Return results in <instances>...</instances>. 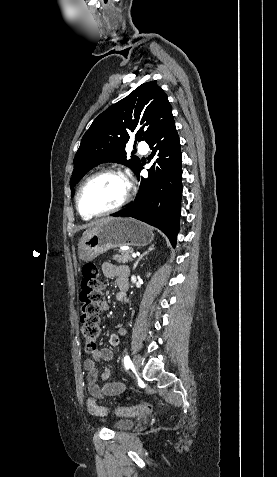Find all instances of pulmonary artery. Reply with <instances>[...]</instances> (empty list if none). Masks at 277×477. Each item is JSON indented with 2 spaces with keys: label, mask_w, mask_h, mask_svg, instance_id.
<instances>
[{
  "label": "pulmonary artery",
  "mask_w": 277,
  "mask_h": 477,
  "mask_svg": "<svg viewBox=\"0 0 277 477\" xmlns=\"http://www.w3.org/2000/svg\"><path fill=\"white\" fill-rule=\"evenodd\" d=\"M138 150L140 153L146 154L149 150V147L146 142H140L138 144Z\"/></svg>",
  "instance_id": "e3ab8cb5"
}]
</instances>
